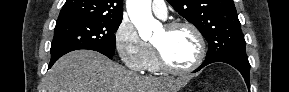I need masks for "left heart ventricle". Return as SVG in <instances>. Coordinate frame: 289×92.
<instances>
[{
	"label": "left heart ventricle",
	"instance_id": "1",
	"mask_svg": "<svg viewBox=\"0 0 289 92\" xmlns=\"http://www.w3.org/2000/svg\"><path fill=\"white\" fill-rule=\"evenodd\" d=\"M156 45L169 64L175 67H187L198 56V42L188 28L168 30L163 27L154 37Z\"/></svg>",
	"mask_w": 289,
	"mask_h": 92
}]
</instances>
